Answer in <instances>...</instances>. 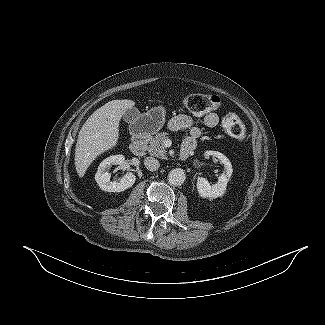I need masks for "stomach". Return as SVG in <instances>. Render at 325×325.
I'll return each instance as SVG.
<instances>
[{
	"instance_id": "obj_1",
	"label": "stomach",
	"mask_w": 325,
	"mask_h": 325,
	"mask_svg": "<svg viewBox=\"0 0 325 325\" xmlns=\"http://www.w3.org/2000/svg\"><path fill=\"white\" fill-rule=\"evenodd\" d=\"M165 123V110L156 107L140 115L133 122L132 133L134 135H153L157 133Z\"/></svg>"
}]
</instances>
